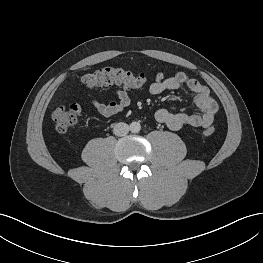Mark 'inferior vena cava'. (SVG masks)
Instances as JSON below:
<instances>
[{
	"label": "inferior vena cava",
	"instance_id": "1",
	"mask_svg": "<svg viewBox=\"0 0 263 263\" xmlns=\"http://www.w3.org/2000/svg\"><path fill=\"white\" fill-rule=\"evenodd\" d=\"M129 130L130 128L128 124L120 122L115 124L113 133L117 136H125L129 132Z\"/></svg>",
	"mask_w": 263,
	"mask_h": 263
}]
</instances>
